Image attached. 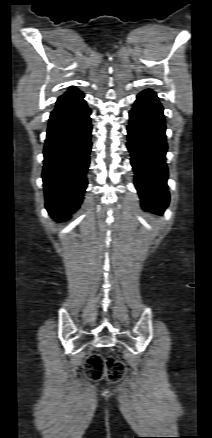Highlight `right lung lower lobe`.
I'll return each instance as SVG.
<instances>
[{
  "label": "right lung lower lobe",
  "mask_w": 212,
  "mask_h": 438,
  "mask_svg": "<svg viewBox=\"0 0 212 438\" xmlns=\"http://www.w3.org/2000/svg\"><path fill=\"white\" fill-rule=\"evenodd\" d=\"M84 94L58 99L51 112L44 147L45 207L59 221L81 204L91 151V110Z\"/></svg>",
  "instance_id": "right-lung-lower-lobe-1"
}]
</instances>
